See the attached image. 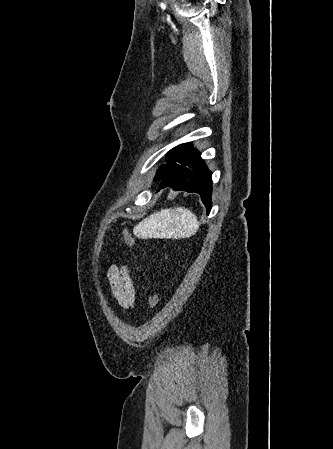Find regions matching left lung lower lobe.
<instances>
[{"instance_id":"left-lung-lower-lobe-1","label":"left lung lower lobe","mask_w":333,"mask_h":449,"mask_svg":"<svg viewBox=\"0 0 333 449\" xmlns=\"http://www.w3.org/2000/svg\"><path fill=\"white\" fill-rule=\"evenodd\" d=\"M160 180L161 188L171 186L174 190L199 193L202 202L207 207V213H209L211 208L212 173L207 169L200 157V153L194 148L184 163Z\"/></svg>"}]
</instances>
